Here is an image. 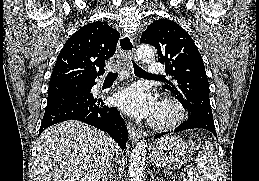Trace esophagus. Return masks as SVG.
<instances>
[{"label":"esophagus","mask_w":259,"mask_h":181,"mask_svg":"<svg viewBox=\"0 0 259 181\" xmlns=\"http://www.w3.org/2000/svg\"><path fill=\"white\" fill-rule=\"evenodd\" d=\"M119 48L123 55L127 58L128 67L130 68V59H136L133 37L127 33L122 34L119 40ZM127 128L129 131L130 139L133 141H138L144 135V132L141 129L136 128L132 123H128Z\"/></svg>","instance_id":"1"}]
</instances>
